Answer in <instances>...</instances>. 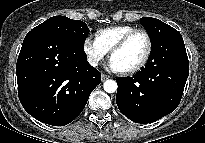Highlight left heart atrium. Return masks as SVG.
Masks as SVG:
<instances>
[{
    "instance_id": "obj_1",
    "label": "left heart atrium",
    "mask_w": 205,
    "mask_h": 143,
    "mask_svg": "<svg viewBox=\"0 0 205 143\" xmlns=\"http://www.w3.org/2000/svg\"><path fill=\"white\" fill-rule=\"evenodd\" d=\"M109 68L114 72H123L124 70L113 60L109 62Z\"/></svg>"
}]
</instances>
